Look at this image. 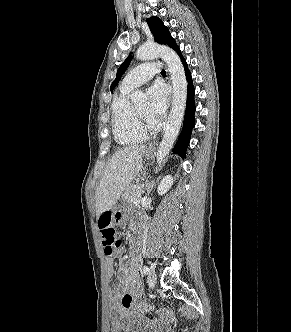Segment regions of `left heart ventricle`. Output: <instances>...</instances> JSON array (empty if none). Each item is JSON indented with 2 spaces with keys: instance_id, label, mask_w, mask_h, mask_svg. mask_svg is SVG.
I'll use <instances>...</instances> for the list:
<instances>
[{
  "instance_id": "left-heart-ventricle-1",
  "label": "left heart ventricle",
  "mask_w": 291,
  "mask_h": 332,
  "mask_svg": "<svg viewBox=\"0 0 291 332\" xmlns=\"http://www.w3.org/2000/svg\"><path fill=\"white\" fill-rule=\"evenodd\" d=\"M137 111L139 114L149 123L148 117H147V110H148V103L142 102L137 104L136 106Z\"/></svg>"
}]
</instances>
